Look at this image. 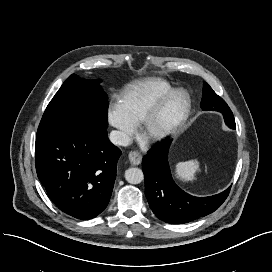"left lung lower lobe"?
Returning a JSON list of instances; mask_svg holds the SVG:
<instances>
[{"instance_id": "left-lung-lower-lobe-1", "label": "left lung lower lobe", "mask_w": 272, "mask_h": 272, "mask_svg": "<svg viewBox=\"0 0 272 272\" xmlns=\"http://www.w3.org/2000/svg\"><path fill=\"white\" fill-rule=\"evenodd\" d=\"M222 113L225 123L232 128L233 113L231 110ZM171 141L167 139L154 145L142 160L145 195L157 218L170 224H183L218 209L227 198L230 187L208 197H195L180 189L174 183L168 165L167 155Z\"/></svg>"}]
</instances>
